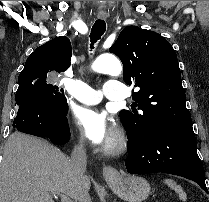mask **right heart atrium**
<instances>
[{
    "mask_svg": "<svg viewBox=\"0 0 209 202\" xmlns=\"http://www.w3.org/2000/svg\"><path fill=\"white\" fill-rule=\"evenodd\" d=\"M67 170H68V171H72V169H71V168H69V167L67 168Z\"/></svg>",
    "mask_w": 209,
    "mask_h": 202,
    "instance_id": "right-heart-atrium-1",
    "label": "right heart atrium"
}]
</instances>
